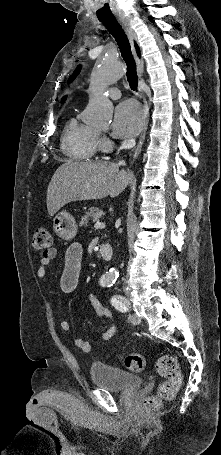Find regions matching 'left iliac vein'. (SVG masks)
<instances>
[{
	"label": "left iliac vein",
	"instance_id": "4c4485c4",
	"mask_svg": "<svg viewBox=\"0 0 221 455\" xmlns=\"http://www.w3.org/2000/svg\"><path fill=\"white\" fill-rule=\"evenodd\" d=\"M128 300V299H127ZM130 303V302H129ZM129 307H130V304H129ZM128 319L129 321L134 324V325H138L141 323V318L139 316H137L136 314H132L130 313L128 315Z\"/></svg>",
	"mask_w": 221,
	"mask_h": 455
}]
</instances>
